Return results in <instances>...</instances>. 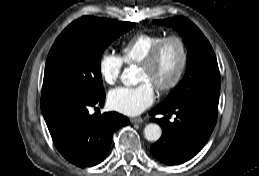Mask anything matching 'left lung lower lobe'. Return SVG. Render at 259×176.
I'll use <instances>...</instances> for the list:
<instances>
[{
  "label": "left lung lower lobe",
  "instance_id": "left-lung-lower-lobe-1",
  "mask_svg": "<svg viewBox=\"0 0 259 176\" xmlns=\"http://www.w3.org/2000/svg\"><path fill=\"white\" fill-rule=\"evenodd\" d=\"M162 127L161 138L151 146L152 155L167 165L182 164L194 157L209 139L217 120L218 104L193 99L180 104L157 106L149 113ZM156 114L165 118L157 119ZM176 115L173 122L169 121Z\"/></svg>",
  "mask_w": 259,
  "mask_h": 176
}]
</instances>
